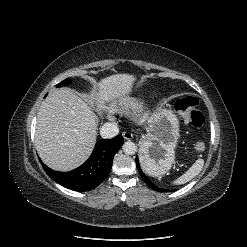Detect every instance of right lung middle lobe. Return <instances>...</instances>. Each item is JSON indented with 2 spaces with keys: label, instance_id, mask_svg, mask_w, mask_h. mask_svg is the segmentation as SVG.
Here are the masks:
<instances>
[{
  "label": "right lung middle lobe",
  "instance_id": "dd1d6c3e",
  "mask_svg": "<svg viewBox=\"0 0 247 247\" xmlns=\"http://www.w3.org/2000/svg\"><path fill=\"white\" fill-rule=\"evenodd\" d=\"M70 82H71L70 79H65V80H63L61 83L57 84V87H62V86H64V85L69 84Z\"/></svg>",
  "mask_w": 247,
  "mask_h": 247
}]
</instances>
